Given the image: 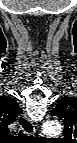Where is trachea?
Masks as SVG:
<instances>
[{
    "label": "trachea",
    "instance_id": "1",
    "mask_svg": "<svg viewBox=\"0 0 77 143\" xmlns=\"http://www.w3.org/2000/svg\"><path fill=\"white\" fill-rule=\"evenodd\" d=\"M20 136H22V137H27V136H25L21 131H20Z\"/></svg>",
    "mask_w": 77,
    "mask_h": 143
}]
</instances>
